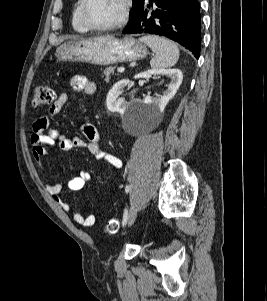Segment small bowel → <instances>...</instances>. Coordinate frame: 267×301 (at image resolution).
Masks as SVG:
<instances>
[{
  "instance_id": "1",
  "label": "small bowel",
  "mask_w": 267,
  "mask_h": 301,
  "mask_svg": "<svg viewBox=\"0 0 267 301\" xmlns=\"http://www.w3.org/2000/svg\"><path fill=\"white\" fill-rule=\"evenodd\" d=\"M70 86L73 91L82 92L87 96L93 95L96 91L95 84L82 75H74L70 79ZM68 99V93H61L51 106L49 113L37 118L33 123L31 145L33 156L38 165L43 169V160L47 155L48 148L57 145L62 151H69L75 147H85L96 159L104 160L113 167L120 169L122 167V161L117 156L103 149L100 142L99 131L94 125L90 123H84L82 125L83 138H69L60 134L57 129L51 127L52 116L61 110ZM90 180L91 174L88 171L82 170L78 175L69 180L68 188L72 191H79L83 189ZM45 188L64 211L70 210L69 204L60 197L62 189L60 183L53 181L46 184ZM73 220L84 227H92L95 224V216L92 214L84 216L80 212H74Z\"/></svg>"
}]
</instances>
